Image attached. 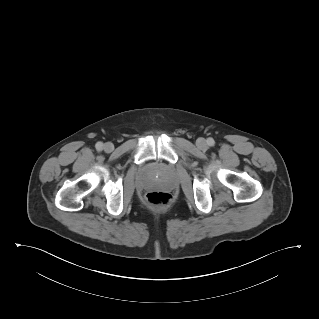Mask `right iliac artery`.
I'll use <instances>...</instances> for the list:
<instances>
[{
    "mask_svg": "<svg viewBox=\"0 0 319 319\" xmlns=\"http://www.w3.org/2000/svg\"><path fill=\"white\" fill-rule=\"evenodd\" d=\"M102 147H103V143L102 142H98V143H96V149L97 150H101L102 149Z\"/></svg>",
    "mask_w": 319,
    "mask_h": 319,
    "instance_id": "right-iliac-artery-1",
    "label": "right iliac artery"
}]
</instances>
